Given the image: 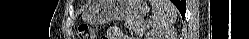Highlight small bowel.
I'll use <instances>...</instances> for the list:
<instances>
[{
	"instance_id": "1",
	"label": "small bowel",
	"mask_w": 249,
	"mask_h": 39,
	"mask_svg": "<svg viewBox=\"0 0 249 39\" xmlns=\"http://www.w3.org/2000/svg\"><path fill=\"white\" fill-rule=\"evenodd\" d=\"M122 37H123V32L121 31L120 28L109 27L103 39H121Z\"/></svg>"
}]
</instances>
